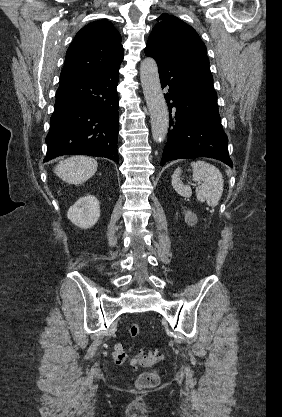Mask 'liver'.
Listing matches in <instances>:
<instances>
[{
    "label": "liver",
    "mask_w": 282,
    "mask_h": 417,
    "mask_svg": "<svg viewBox=\"0 0 282 417\" xmlns=\"http://www.w3.org/2000/svg\"><path fill=\"white\" fill-rule=\"evenodd\" d=\"M97 170V160L90 156H70L56 164L54 172L69 184H82Z\"/></svg>",
    "instance_id": "liver-1"
}]
</instances>
